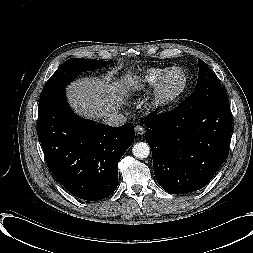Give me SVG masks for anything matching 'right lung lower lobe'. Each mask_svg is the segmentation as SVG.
<instances>
[{
	"label": "right lung lower lobe",
	"mask_w": 253,
	"mask_h": 253,
	"mask_svg": "<svg viewBox=\"0 0 253 253\" xmlns=\"http://www.w3.org/2000/svg\"><path fill=\"white\" fill-rule=\"evenodd\" d=\"M37 135L56 179L72 195L94 201L116 190L117 165L134 140V126L115 128L81 119L63 92L38 112Z\"/></svg>",
	"instance_id": "obj_1"
}]
</instances>
